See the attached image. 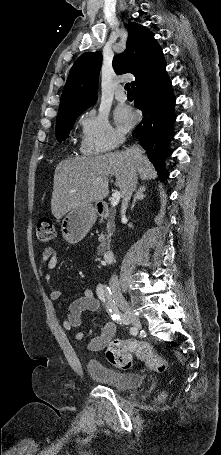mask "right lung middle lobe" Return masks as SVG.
I'll use <instances>...</instances> for the list:
<instances>
[{
    "mask_svg": "<svg viewBox=\"0 0 221 455\" xmlns=\"http://www.w3.org/2000/svg\"><path fill=\"white\" fill-rule=\"evenodd\" d=\"M80 114L81 112L70 113L57 117L56 138L59 142L65 140L68 137L70 130L73 127L74 122L76 121V118Z\"/></svg>",
    "mask_w": 221,
    "mask_h": 455,
    "instance_id": "dd1d6c3e",
    "label": "right lung middle lobe"
}]
</instances>
